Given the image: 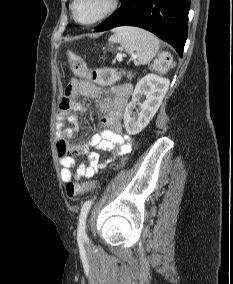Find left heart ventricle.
<instances>
[{
	"label": "left heart ventricle",
	"instance_id": "b2bd125f",
	"mask_svg": "<svg viewBox=\"0 0 233 284\" xmlns=\"http://www.w3.org/2000/svg\"><path fill=\"white\" fill-rule=\"evenodd\" d=\"M108 5V0H79L76 15L81 21H90L100 15Z\"/></svg>",
	"mask_w": 233,
	"mask_h": 284
}]
</instances>
